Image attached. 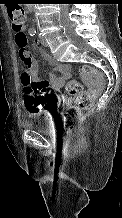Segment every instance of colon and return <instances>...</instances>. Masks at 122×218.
<instances>
[{
  "mask_svg": "<svg viewBox=\"0 0 122 218\" xmlns=\"http://www.w3.org/2000/svg\"><path fill=\"white\" fill-rule=\"evenodd\" d=\"M7 9L12 22V28L16 32L15 42L19 56L21 60L25 62L29 59L27 51L28 39L22 31L26 13L19 5H9ZM79 71L85 81L92 83V89L84 91L82 85L77 80H69L64 84L66 92L75 100V104L68 106L64 111L65 128L69 132L74 129L80 111L90 109L93 105L94 96L104 87V77L98 68L82 65ZM21 82L24 85L23 94L25 95L24 104L26 109L32 113L42 112V107L36 105L34 102V93L37 89V85L32 82L28 70H25L21 74Z\"/></svg>",
  "mask_w": 122,
  "mask_h": 218,
  "instance_id": "1",
  "label": "colon"
}]
</instances>
